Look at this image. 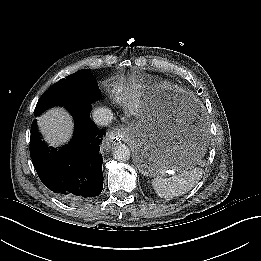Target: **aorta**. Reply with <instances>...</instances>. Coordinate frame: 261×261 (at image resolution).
<instances>
[{
	"mask_svg": "<svg viewBox=\"0 0 261 261\" xmlns=\"http://www.w3.org/2000/svg\"><path fill=\"white\" fill-rule=\"evenodd\" d=\"M130 150L125 144H119L113 148V157L120 162L130 159Z\"/></svg>",
	"mask_w": 261,
	"mask_h": 261,
	"instance_id": "762f6f07",
	"label": "aorta"
}]
</instances>
